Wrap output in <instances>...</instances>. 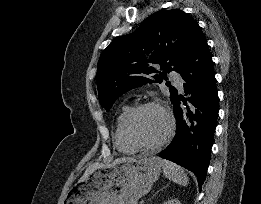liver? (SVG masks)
I'll return each instance as SVG.
<instances>
[{
    "mask_svg": "<svg viewBox=\"0 0 261 204\" xmlns=\"http://www.w3.org/2000/svg\"><path fill=\"white\" fill-rule=\"evenodd\" d=\"M125 160H133V158H129V157H123V158H118L116 159L112 164L113 165L115 163H118L120 161H125ZM104 166L103 164L100 163H93L91 164L85 171L84 175L82 176V178L80 179V181H84L85 179H87V177L97 168Z\"/></svg>",
    "mask_w": 261,
    "mask_h": 204,
    "instance_id": "1",
    "label": "liver"
}]
</instances>
